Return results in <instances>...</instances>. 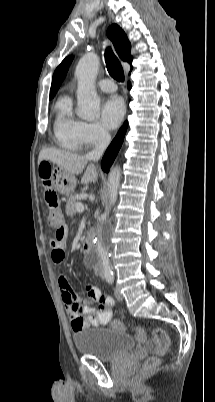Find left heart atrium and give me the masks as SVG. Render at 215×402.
I'll list each match as a JSON object with an SVG mask.
<instances>
[{
	"instance_id": "left-heart-atrium-1",
	"label": "left heart atrium",
	"mask_w": 215,
	"mask_h": 402,
	"mask_svg": "<svg viewBox=\"0 0 215 402\" xmlns=\"http://www.w3.org/2000/svg\"><path fill=\"white\" fill-rule=\"evenodd\" d=\"M125 105L121 97H108L101 107V121L109 129L116 128L123 120Z\"/></svg>"
}]
</instances>
